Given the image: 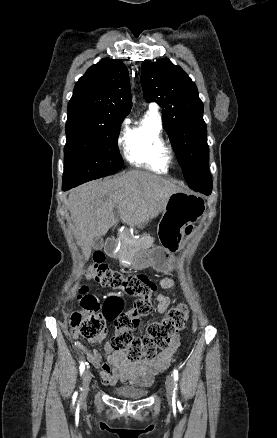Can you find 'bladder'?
I'll return each instance as SVG.
<instances>
[{
  "label": "bladder",
  "instance_id": "obj_1",
  "mask_svg": "<svg viewBox=\"0 0 277 438\" xmlns=\"http://www.w3.org/2000/svg\"><path fill=\"white\" fill-rule=\"evenodd\" d=\"M111 394L119 397L124 401H138L141 398L150 394V389L148 388H115L111 390Z\"/></svg>",
  "mask_w": 277,
  "mask_h": 438
}]
</instances>
